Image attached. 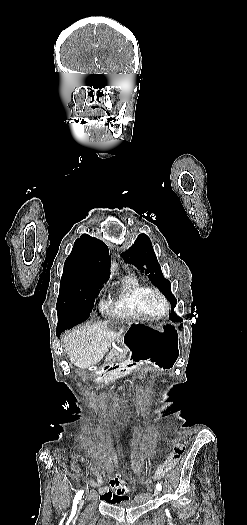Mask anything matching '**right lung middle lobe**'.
<instances>
[{"label":"right lung middle lobe","instance_id":"dd1d6c3e","mask_svg":"<svg viewBox=\"0 0 247 525\" xmlns=\"http://www.w3.org/2000/svg\"><path fill=\"white\" fill-rule=\"evenodd\" d=\"M108 276L85 272H63L57 299L58 325L73 327L85 321L95 298Z\"/></svg>","mask_w":247,"mask_h":525}]
</instances>
